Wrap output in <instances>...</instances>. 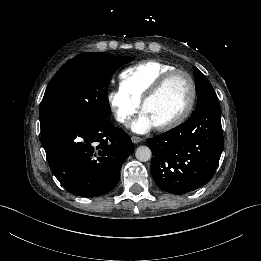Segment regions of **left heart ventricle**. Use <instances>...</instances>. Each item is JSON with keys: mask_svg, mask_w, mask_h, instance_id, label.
Instances as JSON below:
<instances>
[{"mask_svg": "<svg viewBox=\"0 0 261 261\" xmlns=\"http://www.w3.org/2000/svg\"><path fill=\"white\" fill-rule=\"evenodd\" d=\"M191 95L190 84L183 74L175 75L162 92L145 107L155 125L164 124L181 114Z\"/></svg>", "mask_w": 261, "mask_h": 261, "instance_id": "1", "label": "left heart ventricle"}]
</instances>
